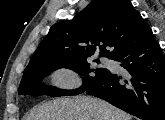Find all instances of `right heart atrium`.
I'll return each instance as SVG.
<instances>
[{
  "instance_id": "1",
  "label": "right heart atrium",
  "mask_w": 165,
  "mask_h": 120,
  "mask_svg": "<svg viewBox=\"0 0 165 120\" xmlns=\"http://www.w3.org/2000/svg\"><path fill=\"white\" fill-rule=\"evenodd\" d=\"M53 82L61 87L72 88L78 85L75 75L69 70H60L53 76Z\"/></svg>"
}]
</instances>
